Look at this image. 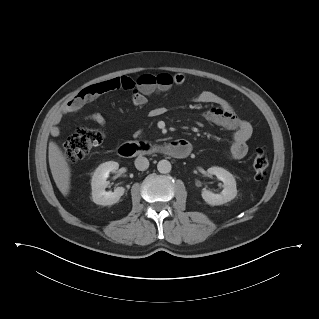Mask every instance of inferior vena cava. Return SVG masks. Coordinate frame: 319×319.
Returning a JSON list of instances; mask_svg holds the SVG:
<instances>
[{
  "mask_svg": "<svg viewBox=\"0 0 319 319\" xmlns=\"http://www.w3.org/2000/svg\"><path fill=\"white\" fill-rule=\"evenodd\" d=\"M135 167L140 170L144 171L149 167V161L146 157L138 156L135 159Z\"/></svg>",
  "mask_w": 319,
  "mask_h": 319,
  "instance_id": "obj_1",
  "label": "inferior vena cava"
}]
</instances>
